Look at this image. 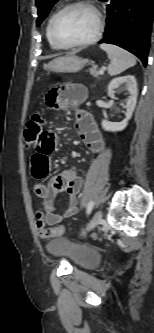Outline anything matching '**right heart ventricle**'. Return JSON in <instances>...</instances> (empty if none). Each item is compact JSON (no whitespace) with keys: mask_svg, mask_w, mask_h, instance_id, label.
<instances>
[{"mask_svg":"<svg viewBox=\"0 0 154 333\" xmlns=\"http://www.w3.org/2000/svg\"><path fill=\"white\" fill-rule=\"evenodd\" d=\"M56 12L52 13L51 16L49 17L48 21H47V24H46V37H47V40L50 44V46L54 49H61L60 47H58L55 42L52 40V37L50 35V22H51V19L53 17V15L55 14Z\"/></svg>","mask_w":154,"mask_h":333,"instance_id":"obj_1","label":"right heart ventricle"}]
</instances>
